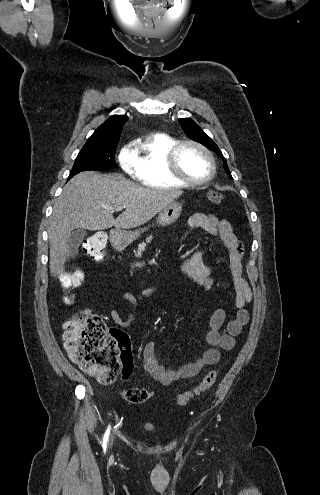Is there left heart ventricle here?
Instances as JSON below:
<instances>
[{
  "label": "left heart ventricle",
  "mask_w": 320,
  "mask_h": 495,
  "mask_svg": "<svg viewBox=\"0 0 320 495\" xmlns=\"http://www.w3.org/2000/svg\"><path fill=\"white\" fill-rule=\"evenodd\" d=\"M179 165L184 175L191 179H203L210 172V163L207 157L193 146H186L181 150Z\"/></svg>",
  "instance_id": "1"
}]
</instances>
